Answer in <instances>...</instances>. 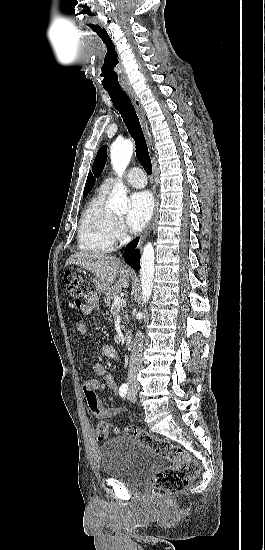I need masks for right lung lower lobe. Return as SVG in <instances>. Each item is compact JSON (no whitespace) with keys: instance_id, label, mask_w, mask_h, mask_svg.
Returning a JSON list of instances; mask_svg holds the SVG:
<instances>
[{"instance_id":"98d812e1","label":"right lung lower lobe","mask_w":265,"mask_h":550,"mask_svg":"<svg viewBox=\"0 0 265 550\" xmlns=\"http://www.w3.org/2000/svg\"><path fill=\"white\" fill-rule=\"evenodd\" d=\"M138 241L139 238L134 239L126 246L124 250L125 261L135 270L140 269V252L139 250H135Z\"/></svg>"}]
</instances>
